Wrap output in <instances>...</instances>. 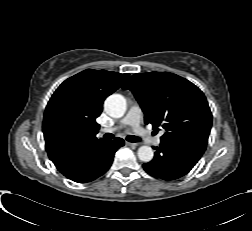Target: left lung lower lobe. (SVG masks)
Wrapping results in <instances>:
<instances>
[{"label":"left lung lower lobe","instance_id":"1","mask_svg":"<svg viewBox=\"0 0 252 231\" xmlns=\"http://www.w3.org/2000/svg\"><path fill=\"white\" fill-rule=\"evenodd\" d=\"M207 142L197 138H181L175 141H163L158 147L154 159L143 164L145 171L164 180L178 179L187 174L203 155Z\"/></svg>","mask_w":252,"mask_h":231}]
</instances>
